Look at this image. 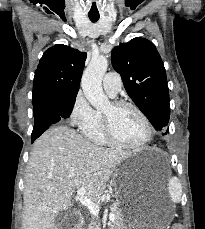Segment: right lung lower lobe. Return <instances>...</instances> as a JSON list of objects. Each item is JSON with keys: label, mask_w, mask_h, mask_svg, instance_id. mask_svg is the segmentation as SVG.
<instances>
[{"label": "right lung lower lobe", "mask_w": 205, "mask_h": 229, "mask_svg": "<svg viewBox=\"0 0 205 229\" xmlns=\"http://www.w3.org/2000/svg\"><path fill=\"white\" fill-rule=\"evenodd\" d=\"M74 103L75 100H72L68 95H58L34 105L33 115L35 124L31 134L32 143L46 131L50 125L55 124L61 118H68Z\"/></svg>", "instance_id": "1"}]
</instances>
